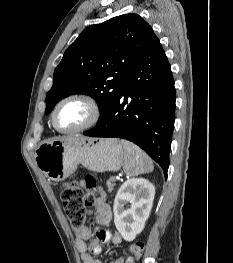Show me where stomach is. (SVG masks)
<instances>
[{"instance_id":"1","label":"stomach","mask_w":233,"mask_h":263,"mask_svg":"<svg viewBox=\"0 0 233 263\" xmlns=\"http://www.w3.org/2000/svg\"><path fill=\"white\" fill-rule=\"evenodd\" d=\"M125 160V149L118 139L63 137L42 143L35 161L49 179L65 180L82 164L94 172L118 171Z\"/></svg>"}]
</instances>
